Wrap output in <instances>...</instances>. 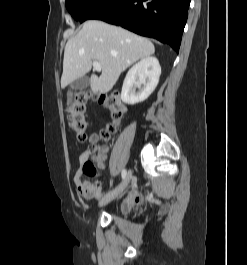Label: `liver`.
Returning a JSON list of instances; mask_svg holds the SVG:
<instances>
[{"mask_svg":"<svg viewBox=\"0 0 247 265\" xmlns=\"http://www.w3.org/2000/svg\"><path fill=\"white\" fill-rule=\"evenodd\" d=\"M154 52L153 43L146 38L102 21H86L66 43L61 87L83 77L91 70L92 62L97 61L102 73L99 77L91 75L90 87L93 93H107L123 71Z\"/></svg>","mask_w":247,"mask_h":265,"instance_id":"1","label":"liver"}]
</instances>
